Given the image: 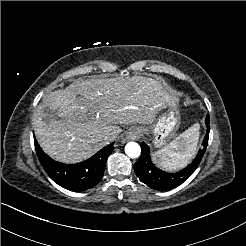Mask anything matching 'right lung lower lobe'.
<instances>
[{
  "mask_svg": "<svg viewBox=\"0 0 246 246\" xmlns=\"http://www.w3.org/2000/svg\"><path fill=\"white\" fill-rule=\"evenodd\" d=\"M35 147L39 161L48 175L71 191H85L96 185L103 176L108 156L114 150L111 143L84 162L66 165L51 159L37 142Z\"/></svg>",
  "mask_w": 246,
  "mask_h": 246,
  "instance_id": "right-lung-lower-lobe-1",
  "label": "right lung lower lobe"
}]
</instances>
